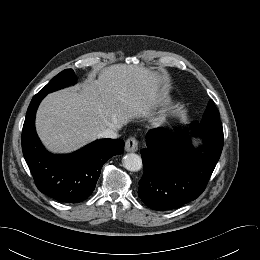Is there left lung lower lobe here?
Masks as SVG:
<instances>
[{"instance_id":"0a47b994","label":"left lung lower lobe","mask_w":260,"mask_h":260,"mask_svg":"<svg viewBox=\"0 0 260 260\" xmlns=\"http://www.w3.org/2000/svg\"><path fill=\"white\" fill-rule=\"evenodd\" d=\"M192 129L203 139L197 150L189 146L187 135L182 139L165 129L147 133L138 195L149 208L177 209L204 191L222 152L223 130L198 127L193 122Z\"/></svg>"}]
</instances>
